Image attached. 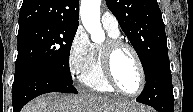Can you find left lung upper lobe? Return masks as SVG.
Instances as JSON below:
<instances>
[{
    "label": "left lung upper lobe",
    "instance_id": "obj_1",
    "mask_svg": "<svg viewBox=\"0 0 193 112\" xmlns=\"http://www.w3.org/2000/svg\"><path fill=\"white\" fill-rule=\"evenodd\" d=\"M130 40L148 78L158 60L168 53L162 14L156 0H106Z\"/></svg>",
    "mask_w": 193,
    "mask_h": 112
}]
</instances>
